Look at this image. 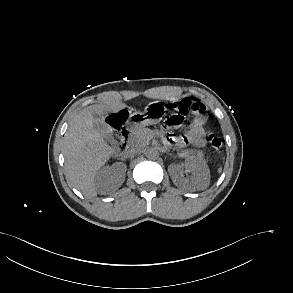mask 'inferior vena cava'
Instances as JSON below:
<instances>
[{"instance_id": "obj_1", "label": "inferior vena cava", "mask_w": 293, "mask_h": 293, "mask_svg": "<svg viewBox=\"0 0 293 293\" xmlns=\"http://www.w3.org/2000/svg\"><path fill=\"white\" fill-rule=\"evenodd\" d=\"M140 152V149L137 147L134 148H129L127 150H125L122 155L124 158H130V157H134L135 155H137Z\"/></svg>"}]
</instances>
